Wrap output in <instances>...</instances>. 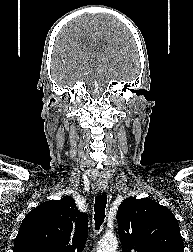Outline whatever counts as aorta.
I'll list each match as a JSON object with an SVG mask.
<instances>
[{"label": "aorta", "mask_w": 193, "mask_h": 252, "mask_svg": "<svg viewBox=\"0 0 193 252\" xmlns=\"http://www.w3.org/2000/svg\"><path fill=\"white\" fill-rule=\"evenodd\" d=\"M118 241L116 237H107L100 240L97 246V252H116Z\"/></svg>", "instance_id": "1"}]
</instances>
